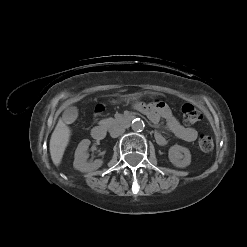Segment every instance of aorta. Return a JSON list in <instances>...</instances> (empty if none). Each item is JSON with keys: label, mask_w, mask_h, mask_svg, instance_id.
<instances>
[{"label": "aorta", "mask_w": 247, "mask_h": 247, "mask_svg": "<svg viewBox=\"0 0 247 247\" xmlns=\"http://www.w3.org/2000/svg\"><path fill=\"white\" fill-rule=\"evenodd\" d=\"M145 124L140 118H136L132 121L131 128L133 131L140 132L144 129Z\"/></svg>", "instance_id": "762f6f07"}]
</instances>
